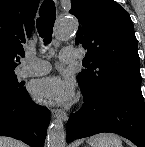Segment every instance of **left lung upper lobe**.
Masks as SVG:
<instances>
[{
  "label": "left lung upper lobe",
  "instance_id": "left-lung-upper-lobe-1",
  "mask_svg": "<svg viewBox=\"0 0 145 147\" xmlns=\"http://www.w3.org/2000/svg\"><path fill=\"white\" fill-rule=\"evenodd\" d=\"M71 14L79 20L76 44L86 49L77 75L90 98L104 96L114 87L141 83L137 39L130 15L114 0H71Z\"/></svg>",
  "mask_w": 145,
  "mask_h": 147
}]
</instances>
